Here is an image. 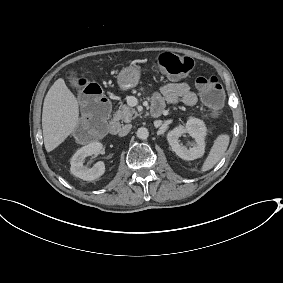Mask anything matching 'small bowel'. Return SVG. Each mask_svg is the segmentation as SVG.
Segmentation results:
<instances>
[{
	"mask_svg": "<svg viewBox=\"0 0 283 283\" xmlns=\"http://www.w3.org/2000/svg\"><path fill=\"white\" fill-rule=\"evenodd\" d=\"M198 101L196 93L184 82H172L162 86L159 93L153 96V104L165 106V103H183L194 106Z\"/></svg>",
	"mask_w": 283,
	"mask_h": 283,
	"instance_id": "obj_1",
	"label": "small bowel"
}]
</instances>
